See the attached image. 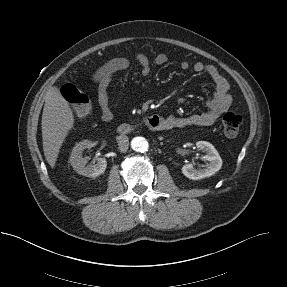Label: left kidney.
<instances>
[{"mask_svg":"<svg viewBox=\"0 0 287 287\" xmlns=\"http://www.w3.org/2000/svg\"><path fill=\"white\" fill-rule=\"evenodd\" d=\"M196 147L203 152H206L204 159L209 161L205 168L195 169L192 164H186L182 167V173L191 180H201L211 177L218 172L222 167V159L214 146L206 141L196 142Z\"/></svg>","mask_w":287,"mask_h":287,"instance_id":"obj_1","label":"left kidney"}]
</instances>
